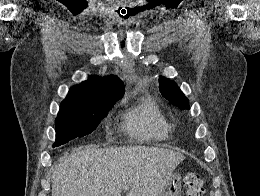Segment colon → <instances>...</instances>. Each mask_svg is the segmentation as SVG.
Segmentation results:
<instances>
[{"instance_id": "obj_1", "label": "colon", "mask_w": 260, "mask_h": 196, "mask_svg": "<svg viewBox=\"0 0 260 196\" xmlns=\"http://www.w3.org/2000/svg\"><path fill=\"white\" fill-rule=\"evenodd\" d=\"M184 187L187 190V196H204V180L197 173H187L183 178Z\"/></svg>"}]
</instances>
